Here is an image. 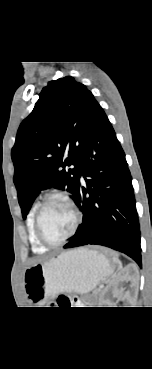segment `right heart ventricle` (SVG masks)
Segmentation results:
<instances>
[{
    "mask_svg": "<svg viewBox=\"0 0 152 369\" xmlns=\"http://www.w3.org/2000/svg\"><path fill=\"white\" fill-rule=\"evenodd\" d=\"M37 208H38V205L35 204L31 208L28 214V218H27L28 237H29V241L31 243L33 251L36 253H44L47 250V247L43 246L38 241L36 234H35L34 219H35V213H36Z\"/></svg>",
    "mask_w": 152,
    "mask_h": 369,
    "instance_id": "1",
    "label": "right heart ventricle"
}]
</instances>
